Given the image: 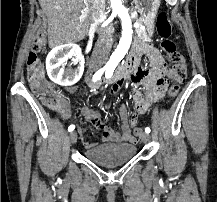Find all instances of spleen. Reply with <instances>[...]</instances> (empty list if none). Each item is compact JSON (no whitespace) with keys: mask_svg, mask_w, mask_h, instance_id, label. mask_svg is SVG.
<instances>
[{"mask_svg":"<svg viewBox=\"0 0 217 202\" xmlns=\"http://www.w3.org/2000/svg\"><path fill=\"white\" fill-rule=\"evenodd\" d=\"M166 5H177V0H166Z\"/></svg>","mask_w":217,"mask_h":202,"instance_id":"obj_1","label":"spleen"}]
</instances>
